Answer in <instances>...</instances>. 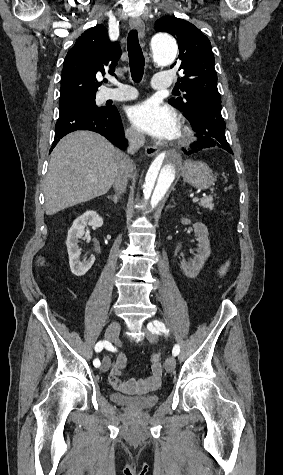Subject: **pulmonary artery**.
Returning <instances> with one entry per match:
<instances>
[{"mask_svg":"<svg viewBox=\"0 0 283 475\" xmlns=\"http://www.w3.org/2000/svg\"><path fill=\"white\" fill-rule=\"evenodd\" d=\"M117 87H105L103 89V94L105 96H121L114 98V101H126L133 99L132 97H124L135 95L138 91L135 88L129 87L127 84H113ZM174 83L172 80H152L151 88L152 89H172Z\"/></svg>","mask_w":283,"mask_h":475,"instance_id":"obj_1","label":"pulmonary artery"}]
</instances>
